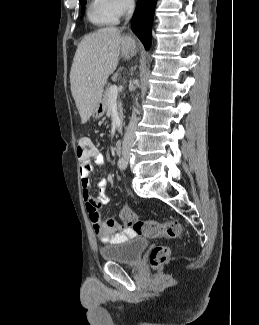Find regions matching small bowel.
<instances>
[{"mask_svg":"<svg viewBox=\"0 0 259 325\" xmlns=\"http://www.w3.org/2000/svg\"><path fill=\"white\" fill-rule=\"evenodd\" d=\"M94 164L99 167L105 165V158L97 149H95L90 159L81 160L80 163L83 199L93 230L102 243L118 244L125 242L134 237L135 232L126 225H120L113 219H103L99 211L100 207L109 201L108 178H102L99 181V193L97 196H93L90 193V177L94 172Z\"/></svg>","mask_w":259,"mask_h":325,"instance_id":"c3829d8e","label":"small bowel"}]
</instances>
